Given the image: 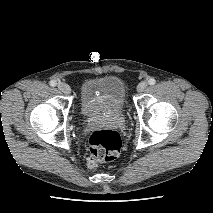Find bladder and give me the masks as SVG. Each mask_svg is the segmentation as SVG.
Returning a JSON list of instances; mask_svg holds the SVG:
<instances>
[{
    "instance_id": "bladder-1",
    "label": "bladder",
    "mask_w": 213,
    "mask_h": 213,
    "mask_svg": "<svg viewBox=\"0 0 213 213\" xmlns=\"http://www.w3.org/2000/svg\"><path fill=\"white\" fill-rule=\"evenodd\" d=\"M125 101V84L116 76L90 79L80 88V109L87 119L119 114Z\"/></svg>"
}]
</instances>
